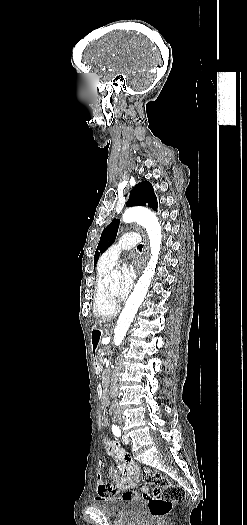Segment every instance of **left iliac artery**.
<instances>
[{
    "label": "left iliac artery",
    "instance_id": "obj_1",
    "mask_svg": "<svg viewBox=\"0 0 247 525\" xmlns=\"http://www.w3.org/2000/svg\"><path fill=\"white\" fill-rule=\"evenodd\" d=\"M112 431H113V434L115 436H117V437L121 436V430H120V428L117 425H113L112 426Z\"/></svg>",
    "mask_w": 247,
    "mask_h": 525
}]
</instances>
